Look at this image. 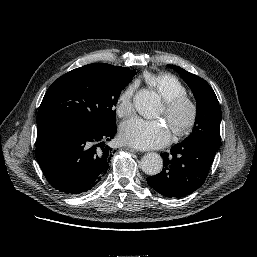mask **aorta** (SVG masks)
Here are the masks:
<instances>
[{"label":"aorta","instance_id":"1","mask_svg":"<svg viewBox=\"0 0 257 257\" xmlns=\"http://www.w3.org/2000/svg\"><path fill=\"white\" fill-rule=\"evenodd\" d=\"M133 102L137 112L144 117H148L159 106L160 98L154 91L142 89L136 93ZM162 167L163 160L157 153H147L141 159V168L148 175L160 173Z\"/></svg>","mask_w":257,"mask_h":257}]
</instances>
